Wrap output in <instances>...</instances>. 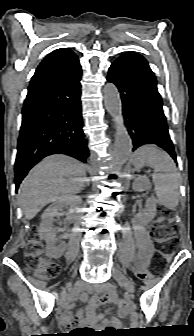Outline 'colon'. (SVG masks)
Segmentation results:
<instances>
[{
  "label": "colon",
  "instance_id": "colon-1",
  "mask_svg": "<svg viewBox=\"0 0 194 336\" xmlns=\"http://www.w3.org/2000/svg\"><path fill=\"white\" fill-rule=\"evenodd\" d=\"M176 228V223L171 211L162 210L157 219V223L151 229L152 237L159 246L158 254L154 258V263L174 255L176 248ZM24 260L26 267L35 271L41 278H55L61 272V265L51 260L45 254L43 244L35 230H32L28 235ZM140 276L144 280H149V276L144 272L140 273ZM117 306L122 311L127 309V304L123 301H119ZM118 331L119 330L108 328L103 334L105 336H115L118 335Z\"/></svg>",
  "mask_w": 194,
  "mask_h": 336
}]
</instances>
